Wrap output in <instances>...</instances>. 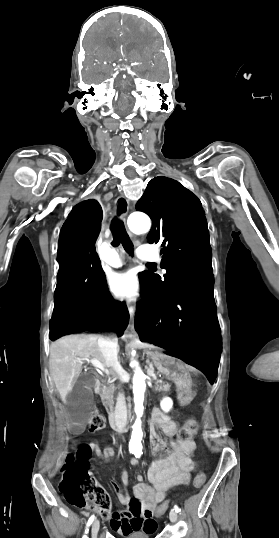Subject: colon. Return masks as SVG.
Returning a JSON list of instances; mask_svg holds the SVG:
<instances>
[{
    "label": "colon",
    "instance_id": "5ec220e1",
    "mask_svg": "<svg viewBox=\"0 0 279 538\" xmlns=\"http://www.w3.org/2000/svg\"><path fill=\"white\" fill-rule=\"evenodd\" d=\"M105 426V421L101 416H95L91 428L92 430H101ZM198 429L197 422L194 419L186 421L184 426L179 430L177 439L180 443L189 444ZM196 453L195 445L189 448L190 459ZM92 456V449L88 445H83L76 449L75 453H70L61 469L62 478L59 489L66 500L77 507L91 506L103 518L108 519L113 513L121 516H141L146 513L139 501L133 500L127 508V513L111 512V500L106 490L98 484L95 477L89 471V460ZM192 469L195 468V461L191 460ZM205 483V474L198 472L194 478L195 488H201ZM170 507L169 502H163L157 509L156 515L165 513Z\"/></svg>",
    "mask_w": 279,
    "mask_h": 538
}]
</instances>
